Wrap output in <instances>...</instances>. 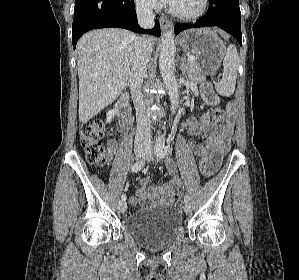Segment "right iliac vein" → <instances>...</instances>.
Masks as SVG:
<instances>
[{
  "label": "right iliac vein",
  "instance_id": "right-iliac-vein-1",
  "mask_svg": "<svg viewBox=\"0 0 299 280\" xmlns=\"http://www.w3.org/2000/svg\"><path fill=\"white\" fill-rule=\"evenodd\" d=\"M135 153H136V156H137V157L141 158V157L144 156L145 151H144L143 149H137V150L135 151ZM118 208H119V210H120L121 213H124V212L126 211V209H127V204H126V202H125V201H121V202L119 203V207H118Z\"/></svg>",
  "mask_w": 299,
  "mask_h": 280
}]
</instances>
